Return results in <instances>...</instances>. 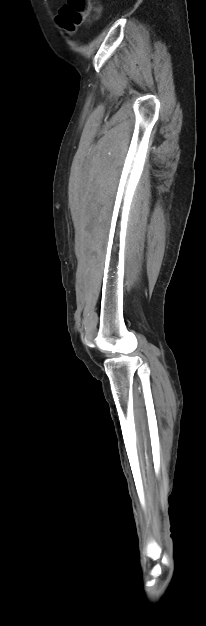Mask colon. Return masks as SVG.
Segmentation results:
<instances>
[{
	"label": "colon",
	"mask_w": 206,
	"mask_h": 626,
	"mask_svg": "<svg viewBox=\"0 0 206 626\" xmlns=\"http://www.w3.org/2000/svg\"><path fill=\"white\" fill-rule=\"evenodd\" d=\"M93 0H67L59 11L58 22L68 32H73L92 16L98 14Z\"/></svg>",
	"instance_id": "colon-1"
}]
</instances>
